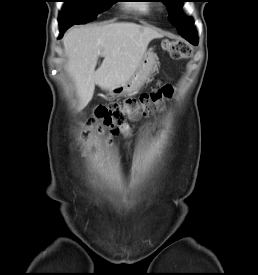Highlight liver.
<instances>
[{"label": "liver", "mask_w": 258, "mask_h": 275, "mask_svg": "<svg viewBox=\"0 0 258 275\" xmlns=\"http://www.w3.org/2000/svg\"><path fill=\"white\" fill-rule=\"evenodd\" d=\"M162 37L152 27L132 22L75 27L63 37L66 70L78 97L77 110L92 99L95 85L110 90L125 82L138 68L148 44ZM99 57H104L95 70Z\"/></svg>", "instance_id": "liver-1"}]
</instances>
